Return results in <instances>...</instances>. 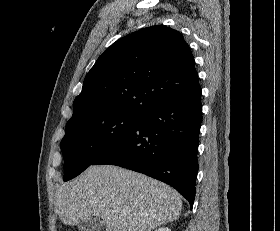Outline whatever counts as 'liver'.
<instances>
[{
  "label": "liver",
  "instance_id": "6515ba94",
  "mask_svg": "<svg viewBox=\"0 0 280 231\" xmlns=\"http://www.w3.org/2000/svg\"><path fill=\"white\" fill-rule=\"evenodd\" d=\"M55 205L65 225L101 217L106 231H151L178 219L182 209L167 183L118 165H90L60 185Z\"/></svg>",
  "mask_w": 280,
  "mask_h": 231
}]
</instances>
